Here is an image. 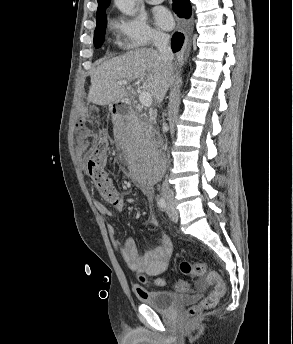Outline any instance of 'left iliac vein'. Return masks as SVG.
I'll return each instance as SVG.
<instances>
[{
  "label": "left iliac vein",
  "mask_w": 293,
  "mask_h": 344,
  "mask_svg": "<svg viewBox=\"0 0 293 344\" xmlns=\"http://www.w3.org/2000/svg\"><path fill=\"white\" fill-rule=\"evenodd\" d=\"M167 214L169 216V218L176 222L178 220V212L177 210L175 209L173 203H169L168 206H167Z\"/></svg>",
  "instance_id": "1"
}]
</instances>
